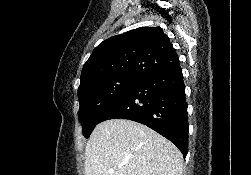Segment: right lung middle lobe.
Returning <instances> with one entry per match:
<instances>
[{"instance_id":"dd1d6c3e","label":"right lung middle lobe","mask_w":251,"mask_h":175,"mask_svg":"<svg viewBox=\"0 0 251 175\" xmlns=\"http://www.w3.org/2000/svg\"><path fill=\"white\" fill-rule=\"evenodd\" d=\"M140 80L136 77L120 76L78 89V117L85 138H89L95 126L100 123L101 116Z\"/></svg>"}]
</instances>
